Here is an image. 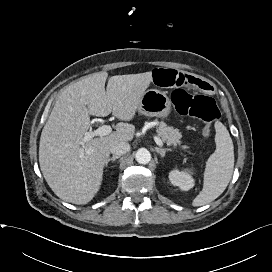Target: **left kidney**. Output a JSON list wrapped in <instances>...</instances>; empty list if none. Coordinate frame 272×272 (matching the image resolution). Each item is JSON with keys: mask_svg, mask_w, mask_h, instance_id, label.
Instances as JSON below:
<instances>
[{"mask_svg": "<svg viewBox=\"0 0 272 272\" xmlns=\"http://www.w3.org/2000/svg\"><path fill=\"white\" fill-rule=\"evenodd\" d=\"M170 182L184 191L190 190L194 186V179L186 171L173 170L169 173Z\"/></svg>", "mask_w": 272, "mask_h": 272, "instance_id": "1", "label": "left kidney"}]
</instances>
